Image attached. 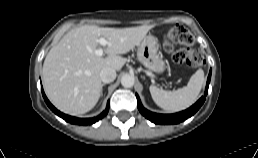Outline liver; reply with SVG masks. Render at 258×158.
I'll return each mask as SVG.
<instances>
[{
  "mask_svg": "<svg viewBox=\"0 0 258 158\" xmlns=\"http://www.w3.org/2000/svg\"><path fill=\"white\" fill-rule=\"evenodd\" d=\"M151 26L103 28L83 25L67 32L50 49L43 64L45 92L60 111L81 115L90 111L101 95L100 71L105 67L121 70L126 58L121 57L139 45ZM108 41L107 57L97 56L99 39Z\"/></svg>",
  "mask_w": 258,
  "mask_h": 158,
  "instance_id": "liver-1",
  "label": "liver"
}]
</instances>
